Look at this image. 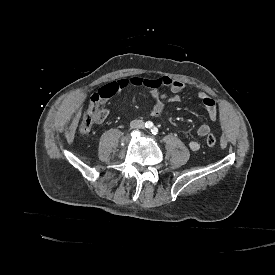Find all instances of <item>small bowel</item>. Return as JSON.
I'll list each match as a JSON object with an SVG mask.
<instances>
[{
    "instance_id": "small-bowel-1",
    "label": "small bowel",
    "mask_w": 275,
    "mask_h": 275,
    "mask_svg": "<svg viewBox=\"0 0 275 275\" xmlns=\"http://www.w3.org/2000/svg\"><path fill=\"white\" fill-rule=\"evenodd\" d=\"M154 81H159V85H154ZM132 85L134 87H146L150 90L154 104L151 115L154 117L160 116L163 112L166 102H178L181 99L180 93L184 90L185 85L179 80L164 77L161 80H148L140 77H133L130 80L119 79L114 82H109L103 85L96 93L92 95V101L99 100L110 93H118L126 86ZM160 86H165L170 90V94H166L159 90ZM197 98L206 109L207 115L211 121H215L218 116L217 103L210 95L205 92H198ZM100 120L102 119L99 118ZM83 122V121H82ZM211 131L208 124H201L197 129V134L200 137L207 136ZM189 146L192 150H197L199 144L197 141H191Z\"/></svg>"
}]
</instances>
